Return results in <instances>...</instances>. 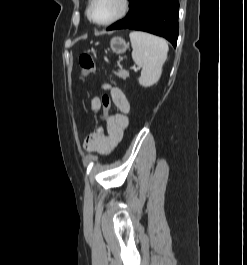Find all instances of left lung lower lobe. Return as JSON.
<instances>
[{
    "label": "left lung lower lobe",
    "instance_id": "obj_1",
    "mask_svg": "<svg viewBox=\"0 0 247 265\" xmlns=\"http://www.w3.org/2000/svg\"><path fill=\"white\" fill-rule=\"evenodd\" d=\"M126 17L107 30L134 29L166 38L174 47L178 38V0H129Z\"/></svg>",
    "mask_w": 247,
    "mask_h": 265
}]
</instances>
